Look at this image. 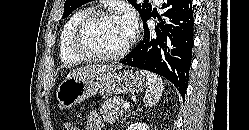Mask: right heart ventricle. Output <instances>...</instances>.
Returning a JSON list of instances; mask_svg holds the SVG:
<instances>
[{"instance_id":"e07e8e85","label":"right heart ventricle","mask_w":249,"mask_h":130,"mask_svg":"<svg viewBox=\"0 0 249 130\" xmlns=\"http://www.w3.org/2000/svg\"><path fill=\"white\" fill-rule=\"evenodd\" d=\"M90 11H92L90 7L77 10L69 17L61 30L59 37V54L62 62L65 64L73 65L83 60L82 57L74 52L72 41L78 23Z\"/></svg>"}]
</instances>
